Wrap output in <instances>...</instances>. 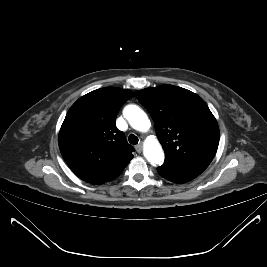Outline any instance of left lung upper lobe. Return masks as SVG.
<instances>
[{
    "mask_svg": "<svg viewBox=\"0 0 267 267\" xmlns=\"http://www.w3.org/2000/svg\"><path fill=\"white\" fill-rule=\"evenodd\" d=\"M135 95L153 118L164 163L200 175L219 143L217 121L204 100L173 85L146 88Z\"/></svg>",
    "mask_w": 267,
    "mask_h": 267,
    "instance_id": "obj_1",
    "label": "left lung upper lobe"
}]
</instances>
